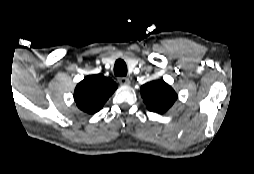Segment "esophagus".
<instances>
[{"mask_svg": "<svg viewBox=\"0 0 254 174\" xmlns=\"http://www.w3.org/2000/svg\"><path fill=\"white\" fill-rule=\"evenodd\" d=\"M118 82H119L121 85H129V84H130V80H129V78H127V77H119V78H118Z\"/></svg>", "mask_w": 254, "mask_h": 174, "instance_id": "esophagus-1", "label": "esophagus"}]
</instances>
